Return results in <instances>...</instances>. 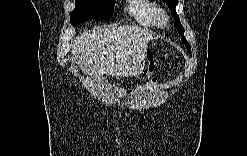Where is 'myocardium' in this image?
Masks as SVG:
<instances>
[{
	"label": "myocardium",
	"instance_id": "1",
	"mask_svg": "<svg viewBox=\"0 0 247 156\" xmlns=\"http://www.w3.org/2000/svg\"><path fill=\"white\" fill-rule=\"evenodd\" d=\"M157 22L161 26H165L169 22V16L164 10L159 11L157 15Z\"/></svg>",
	"mask_w": 247,
	"mask_h": 156
}]
</instances>
